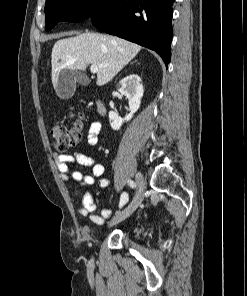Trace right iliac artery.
<instances>
[{
  "instance_id": "82829eb1",
  "label": "right iliac artery",
  "mask_w": 247,
  "mask_h": 296,
  "mask_svg": "<svg viewBox=\"0 0 247 296\" xmlns=\"http://www.w3.org/2000/svg\"><path fill=\"white\" fill-rule=\"evenodd\" d=\"M127 183L130 187L136 188V183L133 180H128Z\"/></svg>"
}]
</instances>
